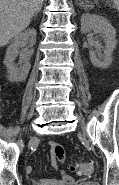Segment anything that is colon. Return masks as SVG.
<instances>
[{
    "label": "colon",
    "mask_w": 119,
    "mask_h": 185,
    "mask_svg": "<svg viewBox=\"0 0 119 185\" xmlns=\"http://www.w3.org/2000/svg\"><path fill=\"white\" fill-rule=\"evenodd\" d=\"M69 169L82 177H87L92 173L93 166L89 162H79L70 164Z\"/></svg>",
    "instance_id": "obj_1"
}]
</instances>
